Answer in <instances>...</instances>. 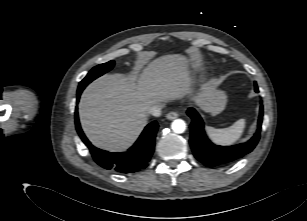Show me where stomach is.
I'll use <instances>...</instances> for the list:
<instances>
[{
  "label": "stomach",
  "mask_w": 307,
  "mask_h": 221,
  "mask_svg": "<svg viewBox=\"0 0 307 221\" xmlns=\"http://www.w3.org/2000/svg\"><path fill=\"white\" fill-rule=\"evenodd\" d=\"M226 101H227L226 93L222 90H216L210 112L212 114L220 113L225 108Z\"/></svg>",
  "instance_id": "obj_1"
}]
</instances>
